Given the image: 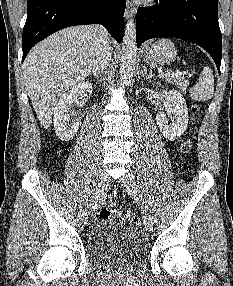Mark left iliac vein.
Returning a JSON list of instances; mask_svg holds the SVG:
<instances>
[{
    "mask_svg": "<svg viewBox=\"0 0 233 286\" xmlns=\"http://www.w3.org/2000/svg\"><path fill=\"white\" fill-rule=\"evenodd\" d=\"M122 185L126 189V191L130 194L135 196L137 199L139 198V191L137 184L135 182L134 175L131 172L126 173L122 179H121ZM142 211H143V222L145 225L146 230L151 232L153 230V222L151 215L148 212V209L146 206L142 205Z\"/></svg>",
    "mask_w": 233,
    "mask_h": 286,
    "instance_id": "1",
    "label": "left iliac vein"
}]
</instances>
